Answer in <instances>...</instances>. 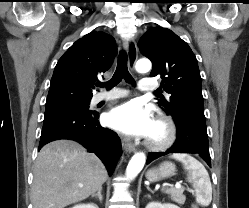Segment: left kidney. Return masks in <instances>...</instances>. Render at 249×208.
<instances>
[{
    "mask_svg": "<svg viewBox=\"0 0 249 208\" xmlns=\"http://www.w3.org/2000/svg\"><path fill=\"white\" fill-rule=\"evenodd\" d=\"M145 208H179L178 206L171 203H158V202H150L146 205Z\"/></svg>",
    "mask_w": 249,
    "mask_h": 208,
    "instance_id": "1",
    "label": "left kidney"
}]
</instances>
